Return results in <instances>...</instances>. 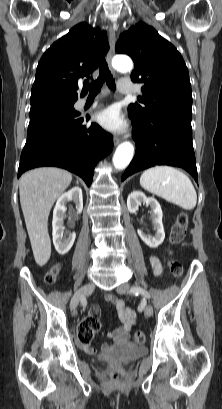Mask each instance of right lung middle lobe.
<instances>
[{"label": "right lung middle lobe", "mask_w": 222, "mask_h": 409, "mask_svg": "<svg viewBox=\"0 0 222 409\" xmlns=\"http://www.w3.org/2000/svg\"><path fill=\"white\" fill-rule=\"evenodd\" d=\"M58 109L69 110L72 112H76L74 110V103H47L43 105H38L35 107H31L30 110V123L46 116L50 112Z\"/></svg>", "instance_id": "obj_1"}]
</instances>
